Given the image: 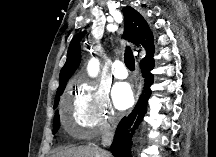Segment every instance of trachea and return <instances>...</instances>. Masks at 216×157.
I'll use <instances>...</instances> for the list:
<instances>
[{"instance_id":"obj_1","label":"trachea","mask_w":216,"mask_h":157,"mask_svg":"<svg viewBox=\"0 0 216 157\" xmlns=\"http://www.w3.org/2000/svg\"><path fill=\"white\" fill-rule=\"evenodd\" d=\"M124 62L129 70H135V60L132 53V50L129 46H126L125 53H124Z\"/></svg>"}]
</instances>
